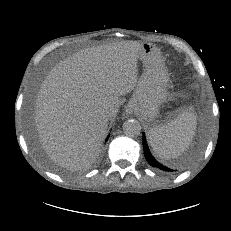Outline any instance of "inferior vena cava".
I'll return each mask as SVG.
<instances>
[{
	"label": "inferior vena cava",
	"instance_id": "inferior-vena-cava-1",
	"mask_svg": "<svg viewBox=\"0 0 231 231\" xmlns=\"http://www.w3.org/2000/svg\"><path fill=\"white\" fill-rule=\"evenodd\" d=\"M103 114H104L105 116H108V115L110 114V110L105 109V110L103 111Z\"/></svg>",
	"mask_w": 231,
	"mask_h": 231
}]
</instances>
